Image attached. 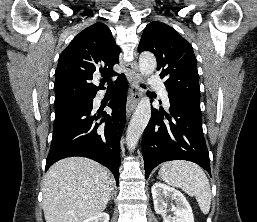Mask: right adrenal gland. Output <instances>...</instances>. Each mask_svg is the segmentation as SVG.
Returning <instances> with one entry per match:
<instances>
[{"label": "right adrenal gland", "instance_id": "2a0ac1e0", "mask_svg": "<svg viewBox=\"0 0 257 222\" xmlns=\"http://www.w3.org/2000/svg\"><path fill=\"white\" fill-rule=\"evenodd\" d=\"M111 198H113V193H112V195H111Z\"/></svg>", "mask_w": 257, "mask_h": 222}]
</instances>
